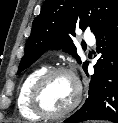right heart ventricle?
Returning <instances> with one entry per match:
<instances>
[{"instance_id": "1", "label": "right heart ventricle", "mask_w": 118, "mask_h": 123, "mask_svg": "<svg viewBox=\"0 0 118 123\" xmlns=\"http://www.w3.org/2000/svg\"><path fill=\"white\" fill-rule=\"evenodd\" d=\"M46 70L45 67H39L32 70L22 81L17 94V108L20 115L29 120H39L41 116L36 114L30 106V94L32 87L40 75Z\"/></svg>"}]
</instances>
